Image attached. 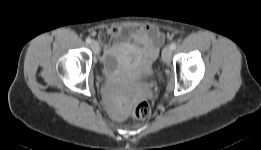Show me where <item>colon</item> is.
I'll use <instances>...</instances> for the list:
<instances>
[{
    "label": "colon",
    "mask_w": 261,
    "mask_h": 150,
    "mask_svg": "<svg viewBox=\"0 0 261 150\" xmlns=\"http://www.w3.org/2000/svg\"><path fill=\"white\" fill-rule=\"evenodd\" d=\"M150 112V106L145 100L138 101L132 108V116L136 119H146L150 116Z\"/></svg>",
    "instance_id": "1"
}]
</instances>
